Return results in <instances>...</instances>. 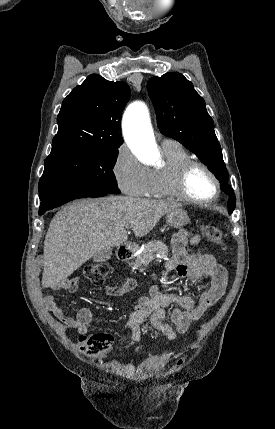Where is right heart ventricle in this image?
I'll return each instance as SVG.
<instances>
[{"label": "right heart ventricle", "mask_w": 275, "mask_h": 429, "mask_svg": "<svg viewBox=\"0 0 275 429\" xmlns=\"http://www.w3.org/2000/svg\"><path fill=\"white\" fill-rule=\"evenodd\" d=\"M162 152L165 162L162 166L151 170V182L146 195L152 198L176 199L178 196L173 190L175 171L179 165L191 159V156L176 142L162 144Z\"/></svg>", "instance_id": "obj_1"}]
</instances>
